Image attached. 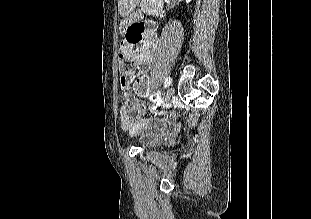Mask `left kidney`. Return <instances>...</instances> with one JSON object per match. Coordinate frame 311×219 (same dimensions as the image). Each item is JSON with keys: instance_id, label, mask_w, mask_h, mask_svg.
I'll return each mask as SVG.
<instances>
[{"instance_id": "1", "label": "left kidney", "mask_w": 311, "mask_h": 219, "mask_svg": "<svg viewBox=\"0 0 311 219\" xmlns=\"http://www.w3.org/2000/svg\"><path fill=\"white\" fill-rule=\"evenodd\" d=\"M189 2H191V0H186V3H189Z\"/></svg>"}]
</instances>
